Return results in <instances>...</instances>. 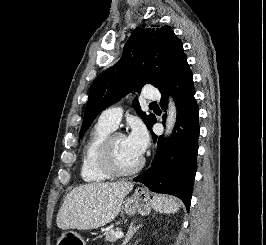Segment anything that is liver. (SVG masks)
<instances>
[{"label":"liver","instance_id":"liver-1","mask_svg":"<svg viewBox=\"0 0 266 245\" xmlns=\"http://www.w3.org/2000/svg\"><path fill=\"white\" fill-rule=\"evenodd\" d=\"M133 183H91L72 189L58 215L59 229L90 231L111 223L120 213L121 203Z\"/></svg>","mask_w":266,"mask_h":245}]
</instances>
